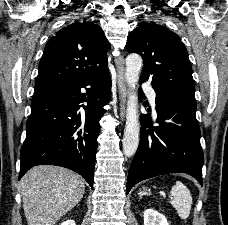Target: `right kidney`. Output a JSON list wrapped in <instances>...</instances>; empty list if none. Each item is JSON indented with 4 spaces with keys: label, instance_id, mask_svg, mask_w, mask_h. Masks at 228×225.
I'll list each match as a JSON object with an SVG mask.
<instances>
[{
    "label": "right kidney",
    "instance_id": "ca27d5eb",
    "mask_svg": "<svg viewBox=\"0 0 228 225\" xmlns=\"http://www.w3.org/2000/svg\"><path fill=\"white\" fill-rule=\"evenodd\" d=\"M61 225H76L75 221H71V219H68V221H63Z\"/></svg>",
    "mask_w": 228,
    "mask_h": 225
}]
</instances>
